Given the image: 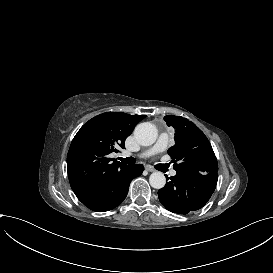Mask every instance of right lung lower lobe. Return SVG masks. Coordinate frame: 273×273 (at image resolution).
Listing matches in <instances>:
<instances>
[{
	"mask_svg": "<svg viewBox=\"0 0 273 273\" xmlns=\"http://www.w3.org/2000/svg\"><path fill=\"white\" fill-rule=\"evenodd\" d=\"M143 170V165L137 164L114 172L95 193L81 202L97 212H105L117 207L127 196L132 179L141 175Z\"/></svg>",
	"mask_w": 273,
	"mask_h": 273,
	"instance_id": "98d812e1",
	"label": "right lung lower lobe"
}]
</instances>
